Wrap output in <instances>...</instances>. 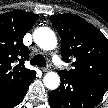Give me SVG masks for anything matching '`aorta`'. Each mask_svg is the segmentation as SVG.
Returning <instances> with one entry per match:
<instances>
[{
    "mask_svg": "<svg viewBox=\"0 0 108 108\" xmlns=\"http://www.w3.org/2000/svg\"><path fill=\"white\" fill-rule=\"evenodd\" d=\"M34 42L44 50H53L57 45L55 33L48 27H39L33 33ZM44 85L50 90H55L60 84V77L55 72H48L43 79Z\"/></svg>",
    "mask_w": 108,
    "mask_h": 108,
    "instance_id": "aorta-1",
    "label": "aorta"
}]
</instances>
